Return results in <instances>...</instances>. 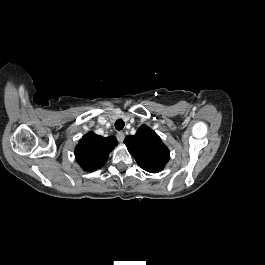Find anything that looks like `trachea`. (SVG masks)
I'll return each mask as SVG.
<instances>
[{
  "label": "trachea",
  "mask_w": 265,
  "mask_h": 265,
  "mask_svg": "<svg viewBox=\"0 0 265 265\" xmlns=\"http://www.w3.org/2000/svg\"><path fill=\"white\" fill-rule=\"evenodd\" d=\"M124 125H125V123H124V121H123L122 119H118V120L115 122V128H116L117 130H121V129H123V128H124Z\"/></svg>",
  "instance_id": "obj_1"
}]
</instances>
